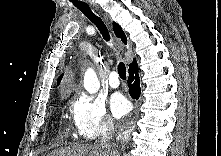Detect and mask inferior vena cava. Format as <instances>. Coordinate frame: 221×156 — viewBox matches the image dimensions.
Segmentation results:
<instances>
[{
    "mask_svg": "<svg viewBox=\"0 0 221 156\" xmlns=\"http://www.w3.org/2000/svg\"><path fill=\"white\" fill-rule=\"evenodd\" d=\"M114 134V124L112 120H108L104 126L100 138L96 141V145L108 151L111 150L110 141Z\"/></svg>",
    "mask_w": 221,
    "mask_h": 156,
    "instance_id": "inferior-vena-cava-1",
    "label": "inferior vena cava"
}]
</instances>
